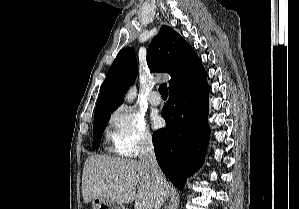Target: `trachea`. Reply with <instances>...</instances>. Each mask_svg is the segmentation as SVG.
Returning <instances> with one entry per match:
<instances>
[{"label": "trachea", "mask_w": 299, "mask_h": 209, "mask_svg": "<svg viewBox=\"0 0 299 209\" xmlns=\"http://www.w3.org/2000/svg\"><path fill=\"white\" fill-rule=\"evenodd\" d=\"M159 93L161 96H167L168 95V89H167V84L163 83L159 86Z\"/></svg>", "instance_id": "1"}]
</instances>
